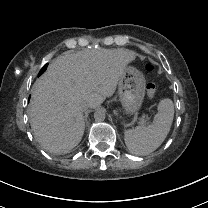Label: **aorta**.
<instances>
[{"mask_svg": "<svg viewBox=\"0 0 208 208\" xmlns=\"http://www.w3.org/2000/svg\"><path fill=\"white\" fill-rule=\"evenodd\" d=\"M106 117L105 111L102 109H98L94 113V118L96 121H103Z\"/></svg>", "mask_w": 208, "mask_h": 208, "instance_id": "aorta-1", "label": "aorta"}]
</instances>
